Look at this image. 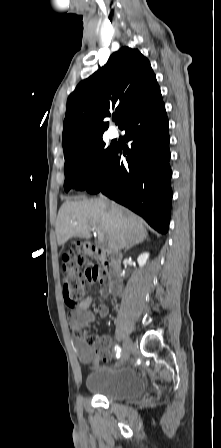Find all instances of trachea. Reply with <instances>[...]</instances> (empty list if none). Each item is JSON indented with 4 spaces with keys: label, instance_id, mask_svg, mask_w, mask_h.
Wrapping results in <instances>:
<instances>
[{
    "label": "trachea",
    "instance_id": "1",
    "mask_svg": "<svg viewBox=\"0 0 221 448\" xmlns=\"http://www.w3.org/2000/svg\"><path fill=\"white\" fill-rule=\"evenodd\" d=\"M112 119L115 121L116 120V116H114Z\"/></svg>",
    "mask_w": 221,
    "mask_h": 448
}]
</instances>
